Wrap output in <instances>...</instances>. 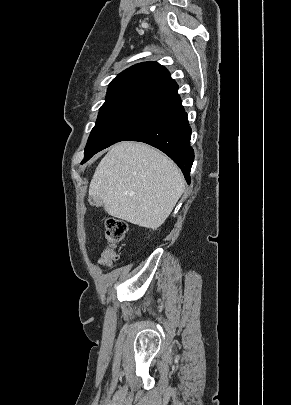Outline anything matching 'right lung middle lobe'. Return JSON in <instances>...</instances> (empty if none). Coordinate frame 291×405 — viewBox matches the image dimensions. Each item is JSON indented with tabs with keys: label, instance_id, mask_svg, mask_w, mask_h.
I'll return each mask as SVG.
<instances>
[{
	"label": "right lung middle lobe",
	"instance_id": "dd1d6c3e",
	"mask_svg": "<svg viewBox=\"0 0 291 405\" xmlns=\"http://www.w3.org/2000/svg\"><path fill=\"white\" fill-rule=\"evenodd\" d=\"M170 107L169 104L142 99L104 104L85 147L83 163L110 145L126 140L166 113Z\"/></svg>",
	"mask_w": 291,
	"mask_h": 405
}]
</instances>
